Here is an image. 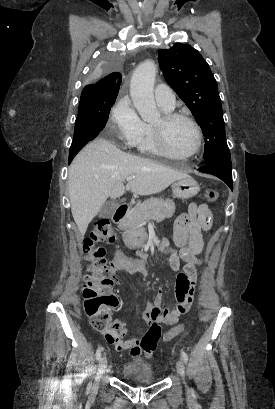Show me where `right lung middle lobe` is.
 <instances>
[{
  "label": "right lung middle lobe",
  "instance_id": "dd1d6c3e",
  "mask_svg": "<svg viewBox=\"0 0 275 409\" xmlns=\"http://www.w3.org/2000/svg\"><path fill=\"white\" fill-rule=\"evenodd\" d=\"M100 56L96 57L90 76L85 78L86 85H97L103 73H121L122 71L121 57H111L110 51H102ZM115 100L80 98L73 142L69 152V164L76 154L103 130Z\"/></svg>",
  "mask_w": 275,
  "mask_h": 409
}]
</instances>
